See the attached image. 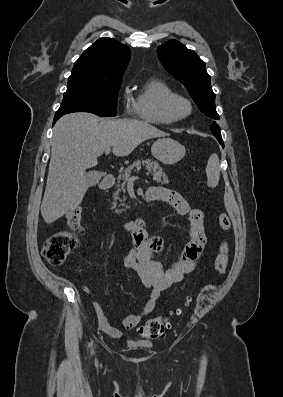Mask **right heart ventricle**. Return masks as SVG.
Segmentation results:
<instances>
[{
	"mask_svg": "<svg viewBox=\"0 0 283 397\" xmlns=\"http://www.w3.org/2000/svg\"><path fill=\"white\" fill-rule=\"evenodd\" d=\"M177 93L163 80L150 78L138 89L135 103L138 116L152 124H169L173 121L165 111L169 98Z\"/></svg>",
	"mask_w": 283,
	"mask_h": 397,
	"instance_id": "1",
	"label": "right heart ventricle"
}]
</instances>
